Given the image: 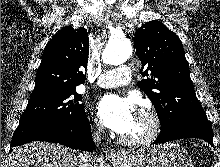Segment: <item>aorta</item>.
<instances>
[{
  "instance_id": "1",
  "label": "aorta",
  "mask_w": 220,
  "mask_h": 167,
  "mask_svg": "<svg viewBox=\"0 0 220 167\" xmlns=\"http://www.w3.org/2000/svg\"><path fill=\"white\" fill-rule=\"evenodd\" d=\"M132 53L131 42L125 38H112L103 51V62L109 65H120L125 62Z\"/></svg>"
}]
</instances>
